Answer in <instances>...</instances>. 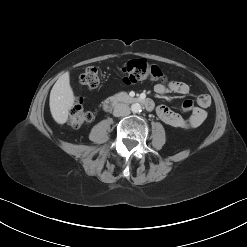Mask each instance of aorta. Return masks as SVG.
I'll return each mask as SVG.
<instances>
[{"label":"aorta","instance_id":"aorta-1","mask_svg":"<svg viewBox=\"0 0 247 247\" xmlns=\"http://www.w3.org/2000/svg\"><path fill=\"white\" fill-rule=\"evenodd\" d=\"M131 111L133 113H139L142 111L141 105L139 103H134L131 105Z\"/></svg>","mask_w":247,"mask_h":247}]
</instances>
